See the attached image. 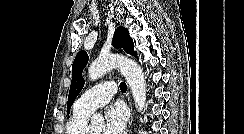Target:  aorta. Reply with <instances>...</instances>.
Wrapping results in <instances>:
<instances>
[{
    "mask_svg": "<svg viewBox=\"0 0 244 134\" xmlns=\"http://www.w3.org/2000/svg\"><path fill=\"white\" fill-rule=\"evenodd\" d=\"M114 68L120 69L131 89L136 108L142 110L146 102V81L141 67L134 60L119 55L99 57L89 67V79L95 81ZM102 120L101 114L92 116V121Z\"/></svg>",
    "mask_w": 244,
    "mask_h": 134,
    "instance_id": "1",
    "label": "aorta"
}]
</instances>
